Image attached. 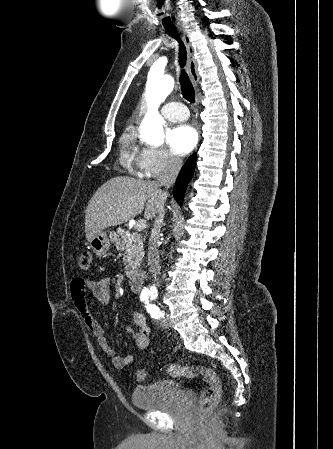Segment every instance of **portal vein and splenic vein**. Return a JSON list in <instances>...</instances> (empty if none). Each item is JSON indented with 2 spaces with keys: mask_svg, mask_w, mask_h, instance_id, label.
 <instances>
[{
  "mask_svg": "<svg viewBox=\"0 0 333 449\" xmlns=\"http://www.w3.org/2000/svg\"><path fill=\"white\" fill-rule=\"evenodd\" d=\"M147 227L146 221L144 220H140L138 222H136L135 224V228L137 230H144Z\"/></svg>",
  "mask_w": 333,
  "mask_h": 449,
  "instance_id": "obj_1",
  "label": "portal vein and splenic vein"
}]
</instances>
